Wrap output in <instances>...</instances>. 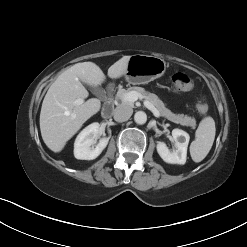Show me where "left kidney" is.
I'll use <instances>...</instances> for the list:
<instances>
[{
    "mask_svg": "<svg viewBox=\"0 0 247 247\" xmlns=\"http://www.w3.org/2000/svg\"><path fill=\"white\" fill-rule=\"evenodd\" d=\"M175 150L171 152L164 142L157 143V152L166 163L170 164H185L187 157V147L189 143V134L180 129L172 131Z\"/></svg>",
    "mask_w": 247,
    "mask_h": 247,
    "instance_id": "5707ae66",
    "label": "left kidney"
}]
</instances>
